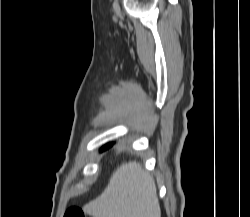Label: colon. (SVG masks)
I'll return each instance as SVG.
<instances>
[{"label":"colon","instance_id":"obj_1","mask_svg":"<svg viewBox=\"0 0 250 217\" xmlns=\"http://www.w3.org/2000/svg\"><path fill=\"white\" fill-rule=\"evenodd\" d=\"M64 217H86V215L81 208L71 207L65 212Z\"/></svg>","mask_w":250,"mask_h":217}]
</instances>
